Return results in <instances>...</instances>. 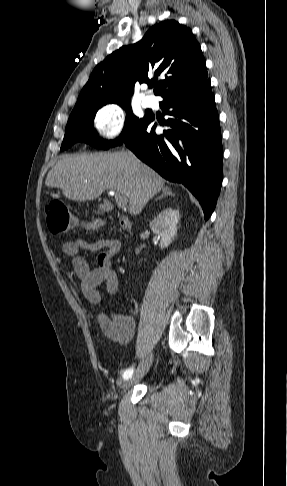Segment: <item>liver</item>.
<instances>
[{
	"label": "liver",
	"instance_id": "obj_1",
	"mask_svg": "<svg viewBox=\"0 0 287 486\" xmlns=\"http://www.w3.org/2000/svg\"><path fill=\"white\" fill-rule=\"evenodd\" d=\"M164 179L129 151L62 157L48 173L45 185L59 188L74 201H90L105 190L116 191L138 215L164 187Z\"/></svg>",
	"mask_w": 287,
	"mask_h": 486
}]
</instances>
